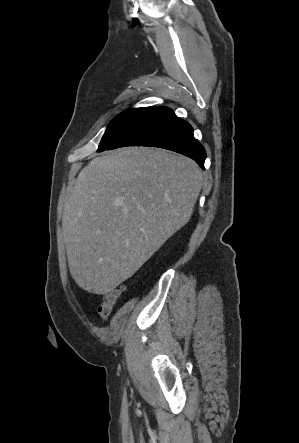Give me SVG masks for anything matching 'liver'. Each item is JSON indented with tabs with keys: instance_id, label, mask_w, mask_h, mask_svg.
<instances>
[{
	"instance_id": "6515ba94",
	"label": "liver",
	"mask_w": 299,
	"mask_h": 443,
	"mask_svg": "<svg viewBox=\"0 0 299 443\" xmlns=\"http://www.w3.org/2000/svg\"><path fill=\"white\" fill-rule=\"evenodd\" d=\"M203 186L198 164L149 147L122 148L84 167L64 206L69 270L106 295L189 221Z\"/></svg>"
}]
</instances>
